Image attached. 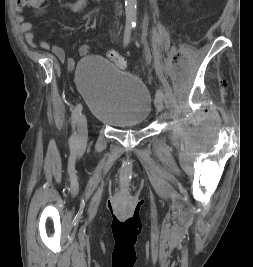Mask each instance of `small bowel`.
Wrapping results in <instances>:
<instances>
[{
	"label": "small bowel",
	"instance_id": "1",
	"mask_svg": "<svg viewBox=\"0 0 253 267\" xmlns=\"http://www.w3.org/2000/svg\"><path fill=\"white\" fill-rule=\"evenodd\" d=\"M65 6H67L72 12H81L88 4L89 0H75L73 2H65V0H59ZM21 32L24 34L26 42L34 48L40 47L42 50H51L52 53L61 61L65 60V52L59 45H50L46 41H40L36 43L35 34L33 32V25L29 21H24L20 26ZM78 52L81 56H85L90 52V45L82 44L78 48Z\"/></svg>",
	"mask_w": 253,
	"mask_h": 267
}]
</instances>
